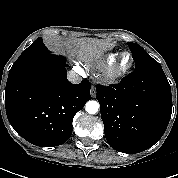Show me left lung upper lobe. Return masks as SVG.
Masks as SVG:
<instances>
[{
    "mask_svg": "<svg viewBox=\"0 0 178 178\" xmlns=\"http://www.w3.org/2000/svg\"><path fill=\"white\" fill-rule=\"evenodd\" d=\"M127 44L132 52V57L135 61L136 67L134 70L148 65L158 64V62L153 59L149 54H147L140 45L131 42H128Z\"/></svg>",
    "mask_w": 178,
    "mask_h": 178,
    "instance_id": "5c2ea615",
    "label": "left lung upper lobe"
}]
</instances>
